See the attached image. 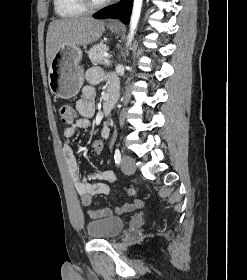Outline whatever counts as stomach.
Returning a JSON list of instances; mask_svg holds the SVG:
<instances>
[{
    "label": "stomach",
    "instance_id": "1",
    "mask_svg": "<svg viewBox=\"0 0 247 280\" xmlns=\"http://www.w3.org/2000/svg\"><path fill=\"white\" fill-rule=\"evenodd\" d=\"M114 33H119V27H110ZM82 50L77 45L61 47L52 59L48 71L50 91L60 98L70 99L77 95L83 82Z\"/></svg>",
    "mask_w": 247,
    "mask_h": 280
}]
</instances>
